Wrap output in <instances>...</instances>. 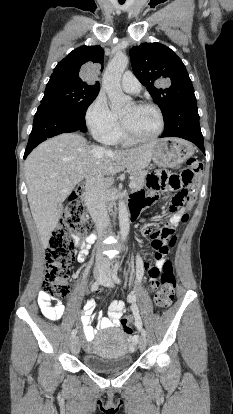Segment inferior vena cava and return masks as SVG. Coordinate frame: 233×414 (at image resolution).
<instances>
[{"mask_svg":"<svg viewBox=\"0 0 233 414\" xmlns=\"http://www.w3.org/2000/svg\"><path fill=\"white\" fill-rule=\"evenodd\" d=\"M85 202L98 232H103L109 223L106 207V192L104 178L101 174L90 172L86 176ZM101 253H106V248H101ZM98 264L107 265V260L100 257Z\"/></svg>","mask_w":233,"mask_h":414,"instance_id":"inferior-vena-cava-1","label":"inferior vena cava"}]
</instances>
